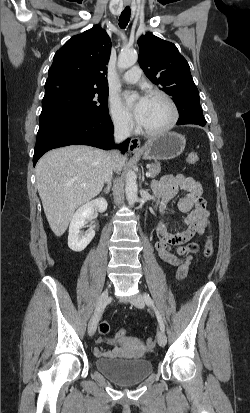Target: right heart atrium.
<instances>
[{
  "label": "right heart atrium",
  "instance_id": "1",
  "mask_svg": "<svg viewBox=\"0 0 250 413\" xmlns=\"http://www.w3.org/2000/svg\"><path fill=\"white\" fill-rule=\"evenodd\" d=\"M109 113L113 125L122 132H130L134 128V122L131 115L122 106L117 97L109 98Z\"/></svg>",
  "mask_w": 250,
  "mask_h": 413
}]
</instances>
